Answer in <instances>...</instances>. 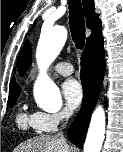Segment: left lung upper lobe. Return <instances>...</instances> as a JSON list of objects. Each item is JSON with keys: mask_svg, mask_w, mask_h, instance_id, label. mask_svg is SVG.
<instances>
[{"mask_svg": "<svg viewBox=\"0 0 123 152\" xmlns=\"http://www.w3.org/2000/svg\"><path fill=\"white\" fill-rule=\"evenodd\" d=\"M31 62V49L28 43L25 44L18 57L17 67L21 75L26 72Z\"/></svg>", "mask_w": 123, "mask_h": 152, "instance_id": "obj_1", "label": "left lung upper lobe"}]
</instances>
